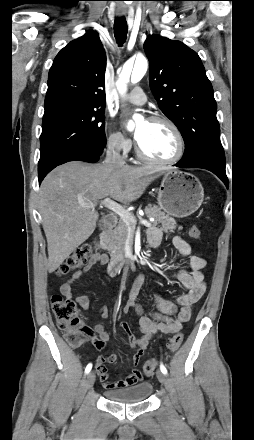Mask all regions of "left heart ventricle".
Instances as JSON below:
<instances>
[{
    "mask_svg": "<svg viewBox=\"0 0 254 440\" xmlns=\"http://www.w3.org/2000/svg\"><path fill=\"white\" fill-rule=\"evenodd\" d=\"M138 143L144 153L157 160H168L178 150V141L173 130L164 123L143 122L139 128Z\"/></svg>",
    "mask_w": 254,
    "mask_h": 440,
    "instance_id": "b2bd125f",
    "label": "left heart ventricle"
}]
</instances>
